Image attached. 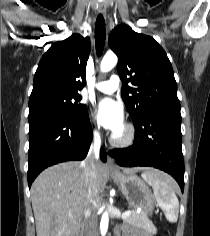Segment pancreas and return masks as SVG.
I'll list each match as a JSON object with an SVG mask.
<instances>
[{
    "mask_svg": "<svg viewBox=\"0 0 210 236\" xmlns=\"http://www.w3.org/2000/svg\"><path fill=\"white\" fill-rule=\"evenodd\" d=\"M126 223H130L136 225L138 227L144 228L151 233L156 232V228L154 227L152 221L149 220L147 214L144 212H136L134 210L131 211V214L124 218L123 220Z\"/></svg>",
    "mask_w": 210,
    "mask_h": 236,
    "instance_id": "1",
    "label": "pancreas"
}]
</instances>
